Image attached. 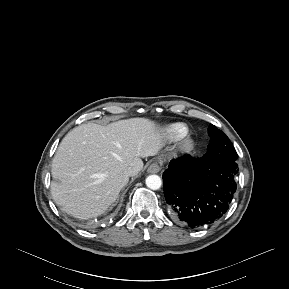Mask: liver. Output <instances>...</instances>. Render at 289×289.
<instances>
[{"label":"liver","instance_id":"1","mask_svg":"<svg viewBox=\"0 0 289 289\" xmlns=\"http://www.w3.org/2000/svg\"><path fill=\"white\" fill-rule=\"evenodd\" d=\"M163 146L162 130L146 118L75 127L52 161L54 202L79 219L104 213L128 183L124 171L130 167L136 176L143 169L141 157L154 156Z\"/></svg>","mask_w":289,"mask_h":289}]
</instances>
